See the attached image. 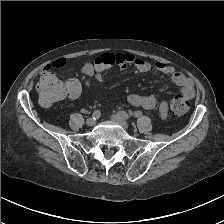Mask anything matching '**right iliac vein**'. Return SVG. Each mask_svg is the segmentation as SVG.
<instances>
[{"instance_id":"obj_1","label":"right iliac vein","mask_w":224,"mask_h":224,"mask_svg":"<svg viewBox=\"0 0 224 224\" xmlns=\"http://www.w3.org/2000/svg\"><path fill=\"white\" fill-rule=\"evenodd\" d=\"M86 123L88 126H94L96 124V120L93 118H88Z\"/></svg>"}]
</instances>
